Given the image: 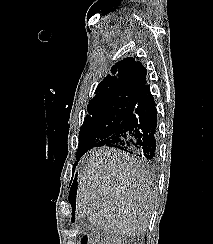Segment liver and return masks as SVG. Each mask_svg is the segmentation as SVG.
I'll list each match as a JSON object with an SVG mask.
<instances>
[{"instance_id": "1", "label": "liver", "mask_w": 213, "mask_h": 244, "mask_svg": "<svg viewBox=\"0 0 213 244\" xmlns=\"http://www.w3.org/2000/svg\"><path fill=\"white\" fill-rule=\"evenodd\" d=\"M154 180L150 170L128 153L96 149L78 174L76 215L115 235H140L156 203Z\"/></svg>"}]
</instances>
